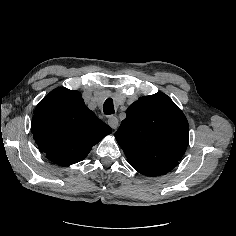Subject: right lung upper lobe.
<instances>
[{
  "label": "right lung upper lobe",
  "mask_w": 236,
  "mask_h": 236,
  "mask_svg": "<svg viewBox=\"0 0 236 236\" xmlns=\"http://www.w3.org/2000/svg\"><path fill=\"white\" fill-rule=\"evenodd\" d=\"M31 131L49 160L69 166L82 161L112 129L85 106L78 91L60 87L37 105Z\"/></svg>",
  "instance_id": "cb5924a9"
}]
</instances>
